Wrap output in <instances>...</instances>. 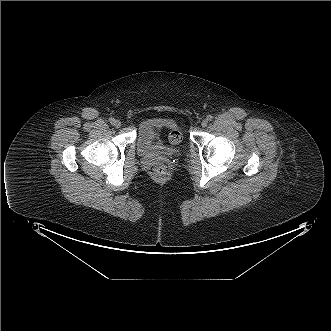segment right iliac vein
<instances>
[{
    "label": "right iliac vein",
    "mask_w": 331,
    "mask_h": 331,
    "mask_svg": "<svg viewBox=\"0 0 331 331\" xmlns=\"http://www.w3.org/2000/svg\"><path fill=\"white\" fill-rule=\"evenodd\" d=\"M113 125L116 127V128H119L121 126V122L119 120H115Z\"/></svg>",
    "instance_id": "1"
}]
</instances>
